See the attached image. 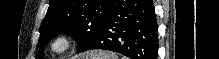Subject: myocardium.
<instances>
[{
  "label": "myocardium",
  "instance_id": "1",
  "mask_svg": "<svg viewBox=\"0 0 219 59\" xmlns=\"http://www.w3.org/2000/svg\"><path fill=\"white\" fill-rule=\"evenodd\" d=\"M47 47L51 54L63 56L74 47V39L70 35L59 34L49 40Z\"/></svg>",
  "mask_w": 219,
  "mask_h": 59
}]
</instances>
